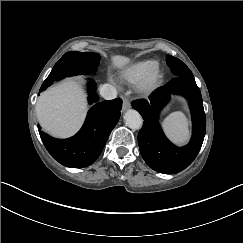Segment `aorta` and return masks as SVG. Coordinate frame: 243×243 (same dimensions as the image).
Listing matches in <instances>:
<instances>
[{"label":"aorta","instance_id":"obj_1","mask_svg":"<svg viewBox=\"0 0 243 243\" xmlns=\"http://www.w3.org/2000/svg\"><path fill=\"white\" fill-rule=\"evenodd\" d=\"M125 122L128 128L134 131H139L143 127V118L135 110H129L125 113Z\"/></svg>","mask_w":243,"mask_h":243}]
</instances>
